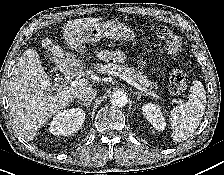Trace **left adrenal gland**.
Segmentation results:
<instances>
[{"label":"left adrenal gland","mask_w":224,"mask_h":175,"mask_svg":"<svg viewBox=\"0 0 224 175\" xmlns=\"http://www.w3.org/2000/svg\"><path fill=\"white\" fill-rule=\"evenodd\" d=\"M131 92H132L133 94L138 95V98H137L138 100H140L142 96H147V94L145 95V94H141L140 92H133L132 89H131Z\"/></svg>","instance_id":"a2214340"}]
</instances>
